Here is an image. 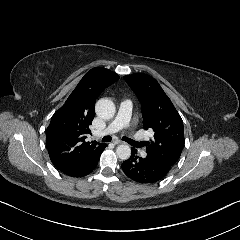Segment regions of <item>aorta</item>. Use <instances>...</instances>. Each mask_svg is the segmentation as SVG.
<instances>
[{
    "mask_svg": "<svg viewBox=\"0 0 240 240\" xmlns=\"http://www.w3.org/2000/svg\"><path fill=\"white\" fill-rule=\"evenodd\" d=\"M96 115L104 120H109L114 117L116 107L112 100L101 98L95 104ZM117 156L122 160H127L131 155V149L128 145H119L116 149Z\"/></svg>",
    "mask_w": 240,
    "mask_h": 240,
    "instance_id": "762f6f07",
    "label": "aorta"
}]
</instances>
